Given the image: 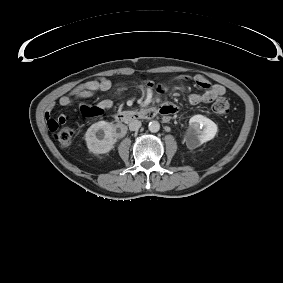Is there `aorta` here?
Listing matches in <instances>:
<instances>
[{"instance_id": "aorta-1", "label": "aorta", "mask_w": 283, "mask_h": 283, "mask_svg": "<svg viewBox=\"0 0 283 283\" xmlns=\"http://www.w3.org/2000/svg\"><path fill=\"white\" fill-rule=\"evenodd\" d=\"M148 129H149V131L152 132V133L158 132L159 129H160V124H159V122L156 121V120H152L151 122H149Z\"/></svg>"}]
</instances>
